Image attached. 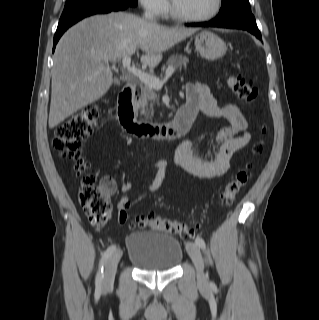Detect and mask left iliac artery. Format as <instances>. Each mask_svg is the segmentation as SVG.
<instances>
[{
	"mask_svg": "<svg viewBox=\"0 0 319 320\" xmlns=\"http://www.w3.org/2000/svg\"><path fill=\"white\" fill-rule=\"evenodd\" d=\"M195 243L199 246V248L205 250L206 244H205V241L201 237H197L195 239ZM211 285H214V284L211 282Z\"/></svg>",
	"mask_w": 319,
	"mask_h": 320,
	"instance_id": "44dca946",
	"label": "left iliac artery"
}]
</instances>
